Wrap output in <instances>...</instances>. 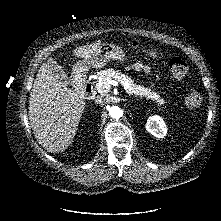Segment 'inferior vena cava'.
<instances>
[{"instance_id":"obj_1","label":"inferior vena cava","mask_w":221,"mask_h":221,"mask_svg":"<svg viewBox=\"0 0 221 221\" xmlns=\"http://www.w3.org/2000/svg\"><path fill=\"white\" fill-rule=\"evenodd\" d=\"M95 103H97V104L104 103V100H103L102 96H98L97 99L95 100Z\"/></svg>"}]
</instances>
